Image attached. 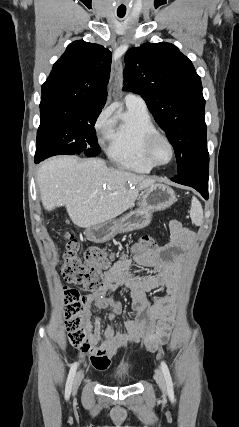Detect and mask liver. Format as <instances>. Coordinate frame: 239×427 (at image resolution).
Listing matches in <instances>:
<instances>
[{
	"instance_id": "liver-1",
	"label": "liver",
	"mask_w": 239,
	"mask_h": 427,
	"mask_svg": "<svg viewBox=\"0 0 239 427\" xmlns=\"http://www.w3.org/2000/svg\"><path fill=\"white\" fill-rule=\"evenodd\" d=\"M45 210L66 206L72 222L81 228L101 224L128 210L140 190L154 180L108 167L101 158L56 156L43 162L37 172Z\"/></svg>"
}]
</instances>
